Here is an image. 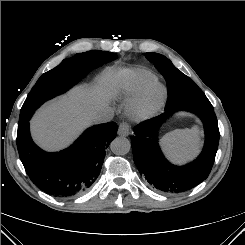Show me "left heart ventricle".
Wrapping results in <instances>:
<instances>
[{
	"label": "left heart ventricle",
	"instance_id": "left-heart-ventricle-1",
	"mask_svg": "<svg viewBox=\"0 0 245 245\" xmlns=\"http://www.w3.org/2000/svg\"><path fill=\"white\" fill-rule=\"evenodd\" d=\"M156 96H157V91H154L153 93H152V99H155L156 98Z\"/></svg>",
	"mask_w": 245,
	"mask_h": 245
}]
</instances>
